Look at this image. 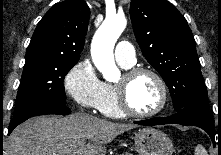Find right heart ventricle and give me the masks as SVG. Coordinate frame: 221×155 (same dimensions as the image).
<instances>
[{"mask_svg":"<svg viewBox=\"0 0 221 155\" xmlns=\"http://www.w3.org/2000/svg\"><path fill=\"white\" fill-rule=\"evenodd\" d=\"M120 65L125 69L131 67L122 64ZM98 110L105 116L112 118H122L125 116V114L119 108L114 84L103 82V97L99 104Z\"/></svg>","mask_w":221,"mask_h":155,"instance_id":"e07e8e85","label":"right heart ventricle"}]
</instances>
